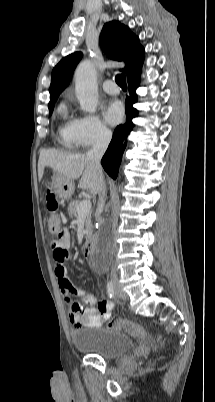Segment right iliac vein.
Here are the masks:
<instances>
[{
  "instance_id": "right-iliac-vein-1",
  "label": "right iliac vein",
  "mask_w": 215,
  "mask_h": 402,
  "mask_svg": "<svg viewBox=\"0 0 215 402\" xmlns=\"http://www.w3.org/2000/svg\"><path fill=\"white\" fill-rule=\"evenodd\" d=\"M116 290H117V293H118V295H119L120 297H122V298L125 299V300L127 299L126 294H125L119 287H117Z\"/></svg>"
}]
</instances>
